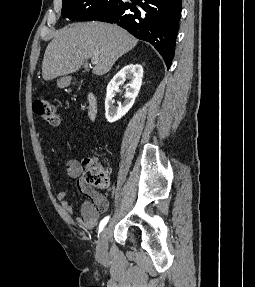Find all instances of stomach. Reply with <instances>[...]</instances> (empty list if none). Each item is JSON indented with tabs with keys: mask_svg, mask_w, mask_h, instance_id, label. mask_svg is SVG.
Returning <instances> with one entry per match:
<instances>
[{
	"mask_svg": "<svg viewBox=\"0 0 255 287\" xmlns=\"http://www.w3.org/2000/svg\"><path fill=\"white\" fill-rule=\"evenodd\" d=\"M70 84H71L70 76H66V78H60V80H58L57 82V86H59V88H67V86H70Z\"/></svg>",
	"mask_w": 255,
	"mask_h": 287,
	"instance_id": "1",
	"label": "stomach"
}]
</instances>
